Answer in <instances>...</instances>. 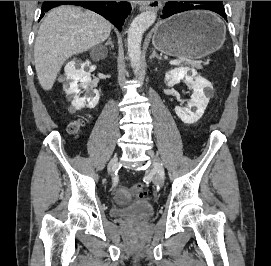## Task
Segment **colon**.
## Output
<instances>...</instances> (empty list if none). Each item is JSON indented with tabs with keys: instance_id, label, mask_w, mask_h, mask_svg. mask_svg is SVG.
Instances as JSON below:
<instances>
[{
	"instance_id": "colon-1",
	"label": "colon",
	"mask_w": 271,
	"mask_h": 266,
	"mask_svg": "<svg viewBox=\"0 0 271 266\" xmlns=\"http://www.w3.org/2000/svg\"><path fill=\"white\" fill-rule=\"evenodd\" d=\"M81 125L82 121L80 120L72 121L68 126V130L72 134H77L80 130ZM132 189L133 192L139 197H146L148 194L147 187L141 182L135 183Z\"/></svg>"
}]
</instances>
